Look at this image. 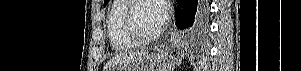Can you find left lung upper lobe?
<instances>
[{
    "instance_id": "1",
    "label": "left lung upper lobe",
    "mask_w": 301,
    "mask_h": 71,
    "mask_svg": "<svg viewBox=\"0 0 301 71\" xmlns=\"http://www.w3.org/2000/svg\"><path fill=\"white\" fill-rule=\"evenodd\" d=\"M108 2L109 0H104V6H106ZM187 39H189V35H187Z\"/></svg>"
}]
</instances>
